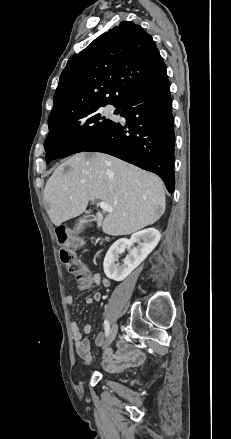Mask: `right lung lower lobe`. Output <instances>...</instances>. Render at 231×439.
Segmentation results:
<instances>
[{
  "label": "right lung lower lobe",
  "instance_id": "obj_1",
  "mask_svg": "<svg viewBox=\"0 0 231 439\" xmlns=\"http://www.w3.org/2000/svg\"><path fill=\"white\" fill-rule=\"evenodd\" d=\"M116 123L84 151L107 153L159 175L174 192V120L169 81L145 89L130 98Z\"/></svg>",
  "mask_w": 231,
  "mask_h": 439
}]
</instances>
